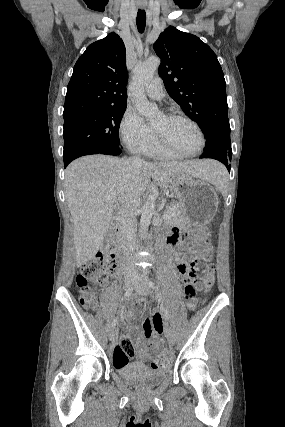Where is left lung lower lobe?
<instances>
[{
    "label": "left lung lower lobe",
    "instance_id": "left-lung-lower-lobe-1",
    "mask_svg": "<svg viewBox=\"0 0 285 427\" xmlns=\"http://www.w3.org/2000/svg\"><path fill=\"white\" fill-rule=\"evenodd\" d=\"M206 146L200 158H211L222 162L230 171L232 149L230 143V126H213L204 132Z\"/></svg>",
    "mask_w": 285,
    "mask_h": 427
}]
</instances>
